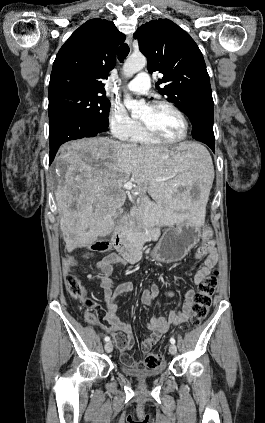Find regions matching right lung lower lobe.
Segmentation results:
<instances>
[{
    "instance_id": "1",
    "label": "right lung lower lobe",
    "mask_w": 265,
    "mask_h": 423,
    "mask_svg": "<svg viewBox=\"0 0 265 423\" xmlns=\"http://www.w3.org/2000/svg\"><path fill=\"white\" fill-rule=\"evenodd\" d=\"M107 128L78 113L58 112L49 116V142L51 163L63 143L83 137H94Z\"/></svg>"
}]
</instances>
